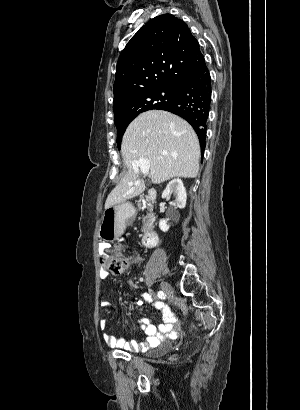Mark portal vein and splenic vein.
Returning a JSON list of instances; mask_svg holds the SVG:
<instances>
[{
  "label": "portal vein and splenic vein",
  "mask_w": 300,
  "mask_h": 410,
  "mask_svg": "<svg viewBox=\"0 0 300 410\" xmlns=\"http://www.w3.org/2000/svg\"><path fill=\"white\" fill-rule=\"evenodd\" d=\"M149 160L148 159H140L139 161H135L133 163V168L135 170V172H139V170L145 174L148 175L149 174Z\"/></svg>",
  "instance_id": "portal-vein-and-splenic-vein-1"
}]
</instances>
